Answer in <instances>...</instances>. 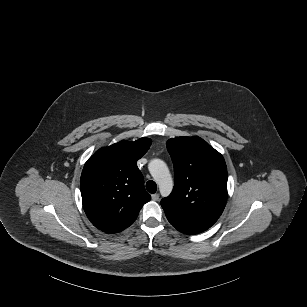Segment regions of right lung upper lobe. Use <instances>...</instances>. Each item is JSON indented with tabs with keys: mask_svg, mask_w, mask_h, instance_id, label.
<instances>
[{
	"mask_svg": "<svg viewBox=\"0 0 307 307\" xmlns=\"http://www.w3.org/2000/svg\"><path fill=\"white\" fill-rule=\"evenodd\" d=\"M151 139L120 141L101 148L85 163L80 188L85 213L92 224L107 233L129 227L151 196L137 167Z\"/></svg>",
	"mask_w": 307,
	"mask_h": 307,
	"instance_id": "right-lung-upper-lobe-1",
	"label": "right lung upper lobe"
}]
</instances>
